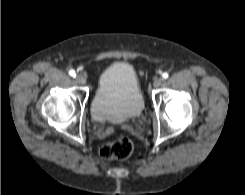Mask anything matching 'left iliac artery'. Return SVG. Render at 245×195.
<instances>
[{
	"instance_id": "obj_1",
	"label": "left iliac artery",
	"mask_w": 245,
	"mask_h": 195,
	"mask_svg": "<svg viewBox=\"0 0 245 195\" xmlns=\"http://www.w3.org/2000/svg\"><path fill=\"white\" fill-rule=\"evenodd\" d=\"M168 73H166V72H164L163 74H162V77L164 78V79H167L168 78Z\"/></svg>"
}]
</instances>
